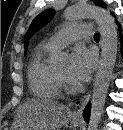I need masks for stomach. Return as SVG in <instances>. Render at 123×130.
<instances>
[{
  "instance_id": "1",
  "label": "stomach",
  "mask_w": 123,
  "mask_h": 130,
  "mask_svg": "<svg viewBox=\"0 0 123 130\" xmlns=\"http://www.w3.org/2000/svg\"><path fill=\"white\" fill-rule=\"evenodd\" d=\"M80 124V122L79 121H77V120H72V125L73 126H78Z\"/></svg>"
}]
</instances>
